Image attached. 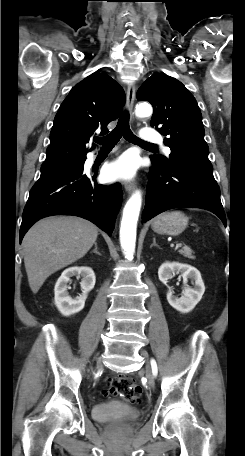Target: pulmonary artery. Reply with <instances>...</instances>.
<instances>
[{
    "label": "pulmonary artery",
    "mask_w": 245,
    "mask_h": 456,
    "mask_svg": "<svg viewBox=\"0 0 245 456\" xmlns=\"http://www.w3.org/2000/svg\"><path fill=\"white\" fill-rule=\"evenodd\" d=\"M141 139L143 141L149 142V143L150 142H158V143L162 142L161 135L157 131H155V130H153L151 128H145V129L142 130ZM164 150H165V152L167 154L170 153V149L168 147H165Z\"/></svg>",
    "instance_id": "1"
}]
</instances>
